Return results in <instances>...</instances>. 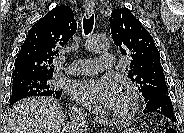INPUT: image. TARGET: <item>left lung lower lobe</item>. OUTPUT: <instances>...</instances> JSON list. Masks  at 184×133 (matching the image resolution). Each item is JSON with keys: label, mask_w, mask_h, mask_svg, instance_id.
<instances>
[{"label": "left lung lower lobe", "mask_w": 184, "mask_h": 133, "mask_svg": "<svg viewBox=\"0 0 184 133\" xmlns=\"http://www.w3.org/2000/svg\"><path fill=\"white\" fill-rule=\"evenodd\" d=\"M158 97V99L152 98L146 102L143 113H159L176 122L170 97L168 95H160Z\"/></svg>", "instance_id": "left-lung-lower-lobe-1"}]
</instances>
